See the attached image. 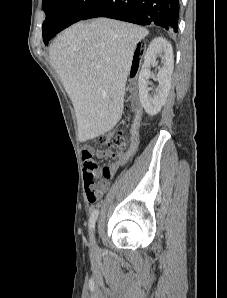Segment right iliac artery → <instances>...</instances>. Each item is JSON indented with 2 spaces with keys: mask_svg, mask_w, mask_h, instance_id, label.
<instances>
[{
  "mask_svg": "<svg viewBox=\"0 0 227 298\" xmlns=\"http://www.w3.org/2000/svg\"><path fill=\"white\" fill-rule=\"evenodd\" d=\"M98 214H99V211L98 209L94 210L90 216V219H89V230L92 232L93 229H94V226H95V222L97 220V217H98Z\"/></svg>",
  "mask_w": 227,
  "mask_h": 298,
  "instance_id": "82829eb1",
  "label": "right iliac artery"
}]
</instances>
